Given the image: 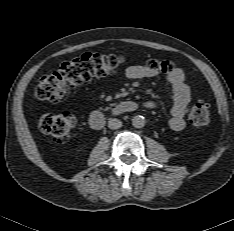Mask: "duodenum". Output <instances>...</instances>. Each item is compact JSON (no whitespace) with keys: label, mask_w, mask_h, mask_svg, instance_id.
<instances>
[{"label":"duodenum","mask_w":234,"mask_h":231,"mask_svg":"<svg viewBox=\"0 0 234 231\" xmlns=\"http://www.w3.org/2000/svg\"><path fill=\"white\" fill-rule=\"evenodd\" d=\"M137 105L133 101H123L114 106L110 113L115 116L119 115H124V114H129L132 113L136 110ZM89 124L93 129H101L104 127L105 122H106V116L103 112H93L89 116Z\"/></svg>","instance_id":"410a0bca"}]
</instances>
